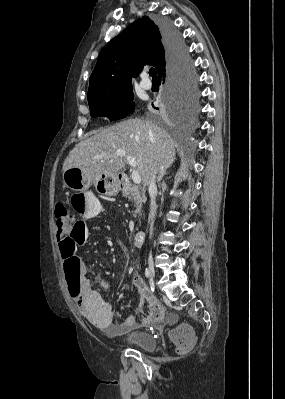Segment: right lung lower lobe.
Returning a JSON list of instances; mask_svg holds the SVG:
<instances>
[{"instance_id": "1", "label": "right lung lower lobe", "mask_w": 285, "mask_h": 399, "mask_svg": "<svg viewBox=\"0 0 285 399\" xmlns=\"http://www.w3.org/2000/svg\"><path fill=\"white\" fill-rule=\"evenodd\" d=\"M163 43L166 50V63L159 74V80L173 87L183 76L187 69V52L180 33L174 28L171 22L162 21L159 23Z\"/></svg>"}]
</instances>
